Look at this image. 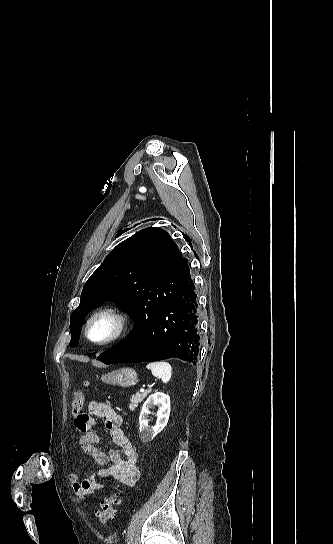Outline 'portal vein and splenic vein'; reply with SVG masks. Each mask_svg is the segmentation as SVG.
I'll use <instances>...</instances> for the list:
<instances>
[{
  "instance_id": "1",
  "label": "portal vein and splenic vein",
  "mask_w": 333,
  "mask_h": 544,
  "mask_svg": "<svg viewBox=\"0 0 333 544\" xmlns=\"http://www.w3.org/2000/svg\"><path fill=\"white\" fill-rule=\"evenodd\" d=\"M140 392H145V389L144 388L140 389Z\"/></svg>"
}]
</instances>
